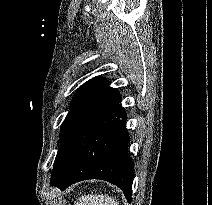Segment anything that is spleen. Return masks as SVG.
<instances>
[{
  "label": "spleen",
  "mask_w": 212,
  "mask_h": 205,
  "mask_svg": "<svg viewBox=\"0 0 212 205\" xmlns=\"http://www.w3.org/2000/svg\"><path fill=\"white\" fill-rule=\"evenodd\" d=\"M74 205H119L117 200L108 195H87L82 196Z\"/></svg>",
  "instance_id": "1"
}]
</instances>
